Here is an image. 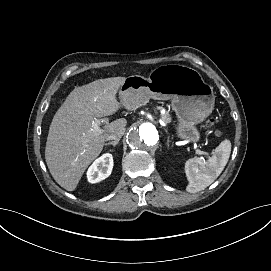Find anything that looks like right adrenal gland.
Instances as JSON below:
<instances>
[{"instance_id": "1", "label": "right adrenal gland", "mask_w": 271, "mask_h": 271, "mask_svg": "<svg viewBox=\"0 0 271 271\" xmlns=\"http://www.w3.org/2000/svg\"><path fill=\"white\" fill-rule=\"evenodd\" d=\"M117 143H118V141H113V142H109V143L105 144V146L107 147V146L112 145L113 147H115Z\"/></svg>"}]
</instances>
